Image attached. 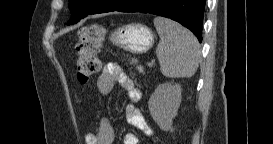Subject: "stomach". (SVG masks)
Instances as JSON below:
<instances>
[{
	"mask_svg": "<svg viewBox=\"0 0 273 144\" xmlns=\"http://www.w3.org/2000/svg\"><path fill=\"white\" fill-rule=\"evenodd\" d=\"M109 39L114 45L133 54L146 53L154 44V34L142 24L119 27Z\"/></svg>",
	"mask_w": 273,
	"mask_h": 144,
	"instance_id": "obj_1",
	"label": "stomach"
}]
</instances>
